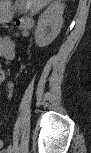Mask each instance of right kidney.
<instances>
[{
	"instance_id": "1",
	"label": "right kidney",
	"mask_w": 91,
	"mask_h": 153,
	"mask_svg": "<svg viewBox=\"0 0 91 153\" xmlns=\"http://www.w3.org/2000/svg\"><path fill=\"white\" fill-rule=\"evenodd\" d=\"M64 4L55 0L39 16L35 31V41L39 47H45L60 33L63 24Z\"/></svg>"
}]
</instances>
